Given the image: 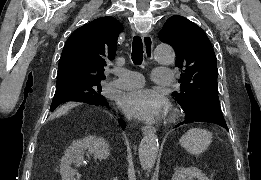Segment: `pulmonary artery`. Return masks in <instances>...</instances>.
<instances>
[{
	"label": "pulmonary artery",
	"mask_w": 261,
	"mask_h": 180,
	"mask_svg": "<svg viewBox=\"0 0 261 180\" xmlns=\"http://www.w3.org/2000/svg\"><path fill=\"white\" fill-rule=\"evenodd\" d=\"M114 73L118 79L113 82V85L120 89L126 88H142L143 76L137 72L127 69H114ZM155 77H174L175 73L170 72V67H155ZM173 78H156V83H173Z\"/></svg>",
	"instance_id": "e3ab8cb5"
}]
</instances>
